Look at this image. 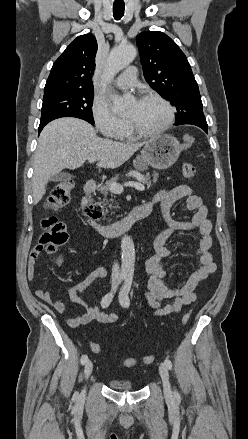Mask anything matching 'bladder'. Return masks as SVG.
<instances>
[{"mask_svg":"<svg viewBox=\"0 0 248 439\" xmlns=\"http://www.w3.org/2000/svg\"><path fill=\"white\" fill-rule=\"evenodd\" d=\"M109 386L113 390L117 391H131L133 390V385L130 381L126 380H118V379H111L109 380Z\"/></svg>","mask_w":248,"mask_h":439,"instance_id":"1","label":"bladder"}]
</instances>
